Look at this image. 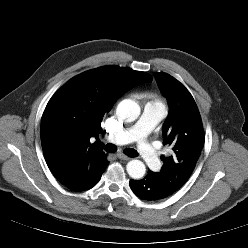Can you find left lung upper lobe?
Here are the masks:
<instances>
[{"label": "left lung upper lobe", "mask_w": 248, "mask_h": 248, "mask_svg": "<svg viewBox=\"0 0 248 248\" xmlns=\"http://www.w3.org/2000/svg\"><path fill=\"white\" fill-rule=\"evenodd\" d=\"M154 76L169 104L162 133L164 144L171 145L173 153L162 157L164 164L161 171L153 174L170 192L175 193L191 176L205 135L197 105L186 87L167 73H155Z\"/></svg>", "instance_id": "left-lung-upper-lobe-1"}]
</instances>
